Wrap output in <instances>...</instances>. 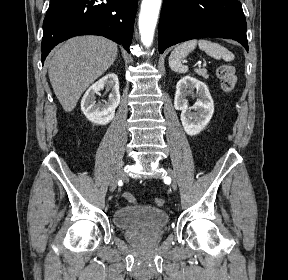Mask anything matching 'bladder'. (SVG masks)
Here are the masks:
<instances>
[{
    "label": "bladder",
    "instance_id": "1",
    "mask_svg": "<svg viewBox=\"0 0 288 280\" xmlns=\"http://www.w3.org/2000/svg\"><path fill=\"white\" fill-rule=\"evenodd\" d=\"M112 220L116 227L123 230L158 232L165 229L169 216L160 208L134 205L116 209Z\"/></svg>",
    "mask_w": 288,
    "mask_h": 280
}]
</instances>
